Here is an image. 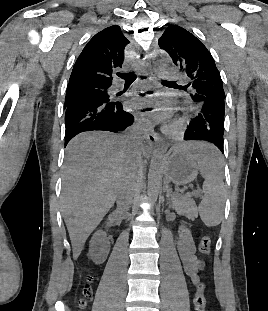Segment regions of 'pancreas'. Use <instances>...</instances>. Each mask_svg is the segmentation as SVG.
Here are the masks:
<instances>
[{
  "mask_svg": "<svg viewBox=\"0 0 268 311\" xmlns=\"http://www.w3.org/2000/svg\"><path fill=\"white\" fill-rule=\"evenodd\" d=\"M192 195L194 194H172L170 206L177 212V214L193 219L197 215V206L192 199Z\"/></svg>",
  "mask_w": 268,
  "mask_h": 311,
  "instance_id": "pancreas-1",
  "label": "pancreas"
}]
</instances>
